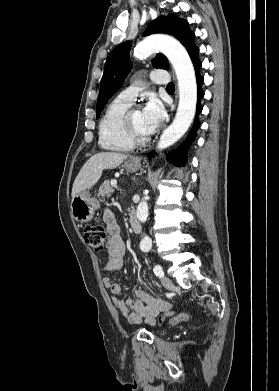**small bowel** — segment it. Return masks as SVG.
<instances>
[{"label":"small bowel","instance_id":"obj_1","mask_svg":"<svg viewBox=\"0 0 279 391\" xmlns=\"http://www.w3.org/2000/svg\"><path fill=\"white\" fill-rule=\"evenodd\" d=\"M107 231V248L109 261L103 268L104 272L121 270L124 265L126 247L120 236V229L113 213L106 209L103 215ZM103 283L113 294H120L123 288L118 283H113L109 277H104ZM136 299L132 300L128 295L122 298L113 297V303L120 311L122 317L131 325L143 322L154 324L160 314H171L172 306L169 302L150 295L141 288L135 289ZM161 321V317H158Z\"/></svg>","mask_w":279,"mask_h":391}]
</instances>
